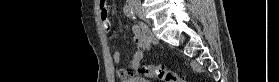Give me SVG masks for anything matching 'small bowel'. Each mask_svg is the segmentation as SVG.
<instances>
[{"instance_id": "obj_1", "label": "small bowel", "mask_w": 279, "mask_h": 82, "mask_svg": "<svg viewBox=\"0 0 279 82\" xmlns=\"http://www.w3.org/2000/svg\"><path fill=\"white\" fill-rule=\"evenodd\" d=\"M106 1L100 0L99 7L101 9V16H102V23L103 27L106 31L112 30V23L108 20L107 9H106ZM132 33H133V42L137 47V50L134 52L130 65L127 68H121L118 70V75L121 78H126L128 76H132L136 73L138 68L141 65V62L144 58V51L146 49V40L144 39L141 29L138 25L132 26ZM113 61L115 63H119L121 61V53L114 52L113 53Z\"/></svg>"}]
</instances>
